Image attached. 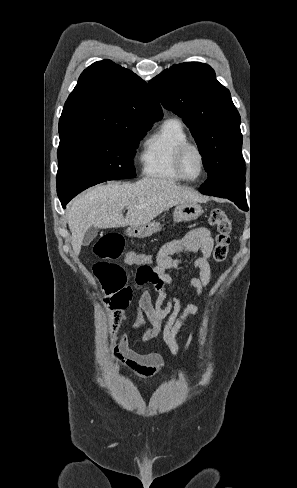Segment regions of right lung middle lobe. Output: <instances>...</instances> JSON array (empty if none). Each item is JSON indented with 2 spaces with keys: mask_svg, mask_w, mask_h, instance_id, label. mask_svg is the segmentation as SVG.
<instances>
[{
  "mask_svg": "<svg viewBox=\"0 0 297 488\" xmlns=\"http://www.w3.org/2000/svg\"><path fill=\"white\" fill-rule=\"evenodd\" d=\"M152 126L144 124L117 133H92L60 139L57 194L69 201L95 184L136 176L133 155Z\"/></svg>",
  "mask_w": 297,
  "mask_h": 488,
  "instance_id": "dd1d6c3e",
  "label": "right lung middle lobe"
}]
</instances>
